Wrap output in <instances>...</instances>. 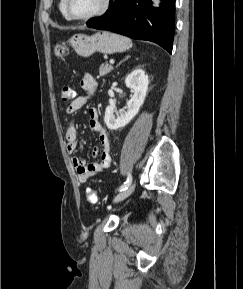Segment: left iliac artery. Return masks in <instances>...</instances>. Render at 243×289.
<instances>
[{
    "instance_id": "left-iliac-artery-1",
    "label": "left iliac artery",
    "mask_w": 243,
    "mask_h": 289,
    "mask_svg": "<svg viewBox=\"0 0 243 289\" xmlns=\"http://www.w3.org/2000/svg\"><path fill=\"white\" fill-rule=\"evenodd\" d=\"M131 182H132V176L130 173H128L127 180L123 183V185H121L119 187L118 190L123 191V190L127 189V187L131 184Z\"/></svg>"
}]
</instances>
